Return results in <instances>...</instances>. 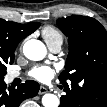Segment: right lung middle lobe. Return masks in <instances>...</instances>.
<instances>
[{
  "label": "right lung middle lobe",
  "instance_id": "1",
  "mask_svg": "<svg viewBox=\"0 0 107 107\" xmlns=\"http://www.w3.org/2000/svg\"><path fill=\"white\" fill-rule=\"evenodd\" d=\"M6 75V67L1 66L0 67V81L4 79V76Z\"/></svg>",
  "mask_w": 107,
  "mask_h": 107
}]
</instances>
